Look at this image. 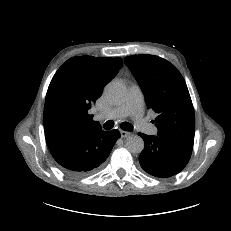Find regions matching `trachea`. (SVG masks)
Returning <instances> with one entry per match:
<instances>
[{"label": "trachea", "instance_id": "1", "mask_svg": "<svg viewBox=\"0 0 231 231\" xmlns=\"http://www.w3.org/2000/svg\"><path fill=\"white\" fill-rule=\"evenodd\" d=\"M113 126H114V122L111 121V120L107 121V122L103 125L104 129H108V130H109V129H112ZM120 127H121L123 130H125V131H131V130H133V126H132L130 123H127V122L122 123V124L120 125Z\"/></svg>", "mask_w": 231, "mask_h": 231}]
</instances>
